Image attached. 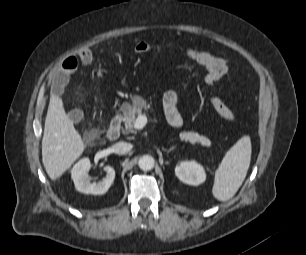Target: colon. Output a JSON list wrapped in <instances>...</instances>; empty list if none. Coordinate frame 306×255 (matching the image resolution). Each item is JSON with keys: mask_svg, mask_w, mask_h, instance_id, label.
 <instances>
[{"mask_svg": "<svg viewBox=\"0 0 306 255\" xmlns=\"http://www.w3.org/2000/svg\"><path fill=\"white\" fill-rule=\"evenodd\" d=\"M148 51L149 45L144 41H139L134 45V52L136 54L143 55L146 54ZM186 54L207 70L205 81L209 86L214 85L227 72V64L225 60L213 55L208 51L188 47L186 49ZM106 66V62L102 63V65L100 66L98 71V75L100 77L104 75ZM210 103L222 118L229 122L236 121L237 116L235 115V113L219 97L211 96Z\"/></svg>", "mask_w": 306, "mask_h": 255, "instance_id": "colon-1", "label": "colon"}]
</instances>
